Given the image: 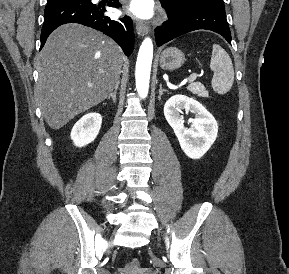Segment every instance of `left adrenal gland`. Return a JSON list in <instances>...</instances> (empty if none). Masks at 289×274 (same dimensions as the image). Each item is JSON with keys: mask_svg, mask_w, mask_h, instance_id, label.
Masks as SVG:
<instances>
[{"mask_svg": "<svg viewBox=\"0 0 289 274\" xmlns=\"http://www.w3.org/2000/svg\"><path fill=\"white\" fill-rule=\"evenodd\" d=\"M163 92H166L165 89L162 88V84H160V89H159V96H158V99L160 100L162 95H163Z\"/></svg>", "mask_w": 289, "mask_h": 274, "instance_id": "left-adrenal-gland-1", "label": "left adrenal gland"}]
</instances>
